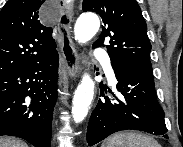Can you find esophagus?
<instances>
[{
  "mask_svg": "<svg viewBox=\"0 0 183 147\" xmlns=\"http://www.w3.org/2000/svg\"><path fill=\"white\" fill-rule=\"evenodd\" d=\"M72 10L66 1H62V12L59 21V33L62 38L61 52L70 78H75L78 73L79 55L71 34Z\"/></svg>",
  "mask_w": 183,
  "mask_h": 147,
  "instance_id": "obj_1",
  "label": "esophagus"
}]
</instances>
